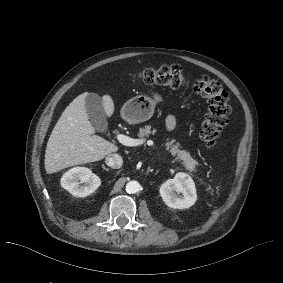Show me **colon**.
I'll return each mask as SVG.
<instances>
[{"label":"colon","instance_id":"1","mask_svg":"<svg viewBox=\"0 0 283 283\" xmlns=\"http://www.w3.org/2000/svg\"><path fill=\"white\" fill-rule=\"evenodd\" d=\"M133 79L147 85L170 88H179L190 84L192 89L201 95L207 103L200 124V138L209 148L217 144L230 113L229 94L224 90L220 82L203 75L189 83L178 65H161L147 68L135 73Z\"/></svg>","mask_w":283,"mask_h":283}]
</instances>
